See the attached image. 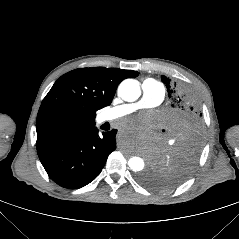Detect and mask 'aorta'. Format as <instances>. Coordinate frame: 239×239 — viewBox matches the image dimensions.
Segmentation results:
<instances>
[{
  "label": "aorta",
  "mask_w": 239,
  "mask_h": 239,
  "mask_svg": "<svg viewBox=\"0 0 239 239\" xmlns=\"http://www.w3.org/2000/svg\"><path fill=\"white\" fill-rule=\"evenodd\" d=\"M118 95L125 101H136L141 95V89L137 80L126 79L118 87ZM129 167L133 171H142L144 169V160L140 157L133 156L128 161Z\"/></svg>",
  "instance_id": "aorta-1"
}]
</instances>
